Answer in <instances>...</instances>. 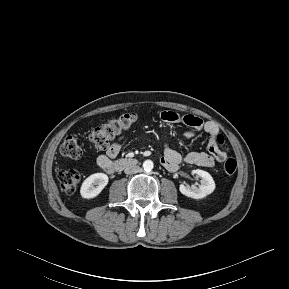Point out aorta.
Returning <instances> with one entry per match:
<instances>
[{
    "label": "aorta",
    "instance_id": "obj_1",
    "mask_svg": "<svg viewBox=\"0 0 289 289\" xmlns=\"http://www.w3.org/2000/svg\"><path fill=\"white\" fill-rule=\"evenodd\" d=\"M142 166L145 171L149 172L153 169L154 164L151 160H145Z\"/></svg>",
    "mask_w": 289,
    "mask_h": 289
}]
</instances>
